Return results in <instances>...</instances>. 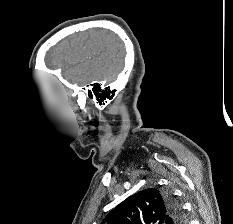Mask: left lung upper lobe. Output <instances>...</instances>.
Listing matches in <instances>:
<instances>
[{
    "mask_svg": "<svg viewBox=\"0 0 233 224\" xmlns=\"http://www.w3.org/2000/svg\"><path fill=\"white\" fill-rule=\"evenodd\" d=\"M183 224L179 204L168 192L149 188L117 205L101 224Z\"/></svg>",
    "mask_w": 233,
    "mask_h": 224,
    "instance_id": "1",
    "label": "left lung upper lobe"
}]
</instances>
